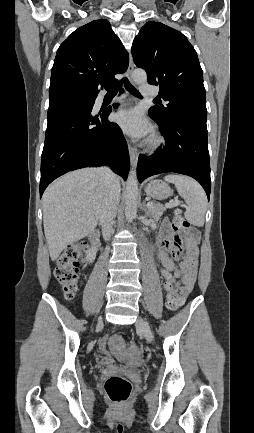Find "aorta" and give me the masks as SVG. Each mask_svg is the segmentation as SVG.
<instances>
[{
  "label": "aorta",
  "instance_id": "obj_1",
  "mask_svg": "<svg viewBox=\"0 0 254 433\" xmlns=\"http://www.w3.org/2000/svg\"><path fill=\"white\" fill-rule=\"evenodd\" d=\"M132 79L136 84L147 81V74L144 70L138 69L132 73ZM138 179L136 170H131L126 183L125 194V216L131 222L137 213Z\"/></svg>",
  "mask_w": 254,
  "mask_h": 433
}]
</instances>
